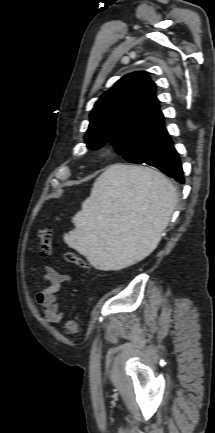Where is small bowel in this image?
Returning <instances> with one entry per match:
<instances>
[{
	"label": "small bowel",
	"instance_id": "1",
	"mask_svg": "<svg viewBox=\"0 0 215 433\" xmlns=\"http://www.w3.org/2000/svg\"><path fill=\"white\" fill-rule=\"evenodd\" d=\"M44 281L48 283L47 287L37 291L35 299L41 306L46 321L50 323H59L63 319L58 295L64 284L70 281V276L62 274L50 266L44 269Z\"/></svg>",
	"mask_w": 215,
	"mask_h": 433
}]
</instances>
